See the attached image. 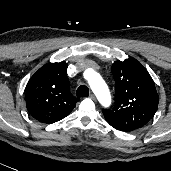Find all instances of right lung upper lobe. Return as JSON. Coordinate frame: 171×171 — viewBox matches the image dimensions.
Instances as JSON below:
<instances>
[{"label":"right lung upper lobe","mask_w":171,"mask_h":171,"mask_svg":"<svg viewBox=\"0 0 171 171\" xmlns=\"http://www.w3.org/2000/svg\"><path fill=\"white\" fill-rule=\"evenodd\" d=\"M67 63L41 67L29 80L26 105L30 115L42 123H54L70 114L79 101L69 90Z\"/></svg>","instance_id":"right-lung-upper-lobe-1"}]
</instances>
